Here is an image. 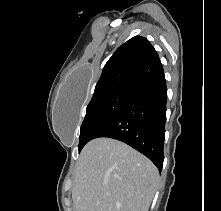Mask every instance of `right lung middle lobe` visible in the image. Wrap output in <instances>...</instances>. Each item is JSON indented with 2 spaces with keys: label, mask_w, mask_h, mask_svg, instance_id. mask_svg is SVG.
Masks as SVG:
<instances>
[{
  "label": "right lung middle lobe",
  "mask_w": 221,
  "mask_h": 211,
  "mask_svg": "<svg viewBox=\"0 0 221 211\" xmlns=\"http://www.w3.org/2000/svg\"><path fill=\"white\" fill-rule=\"evenodd\" d=\"M134 90L117 88L93 96L87 106L86 115L80 128L79 151L118 113Z\"/></svg>",
  "instance_id": "obj_1"
}]
</instances>
